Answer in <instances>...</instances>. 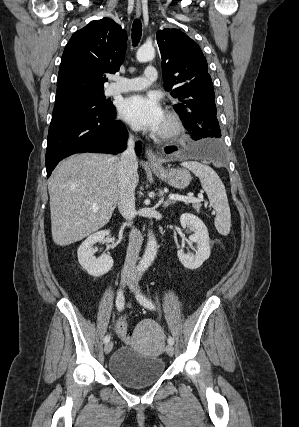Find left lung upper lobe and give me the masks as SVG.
I'll return each mask as SVG.
<instances>
[{
    "mask_svg": "<svg viewBox=\"0 0 299 427\" xmlns=\"http://www.w3.org/2000/svg\"><path fill=\"white\" fill-rule=\"evenodd\" d=\"M162 57L164 86L177 99L175 111L180 115L193 108L211 112L212 130L221 137L216 118L213 84L205 56L195 41L178 29H163L156 34Z\"/></svg>",
    "mask_w": 299,
    "mask_h": 427,
    "instance_id": "obj_1",
    "label": "left lung upper lobe"
}]
</instances>
